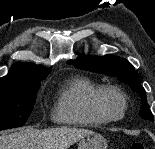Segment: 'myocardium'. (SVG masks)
<instances>
[{
    "instance_id": "obj_1",
    "label": "myocardium",
    "mask_w": 155,
    "mask_h": 149,
    "mask_svg": "<svg viewBox=\"0 0 155 149\" xmlns=\"http://www.w3.org/2000/svg\"><path fill=\"white\" fill-rule=\"evenodd\" d=\"M107 95H114L118 97L123 105L122 112L118 116L111 115L104 106V99ZM94 108L96 112L107 122H117L122 120L128 110V101L125 94L115 86H102L94 95Z\"/></svg>"
}]
</instances>
